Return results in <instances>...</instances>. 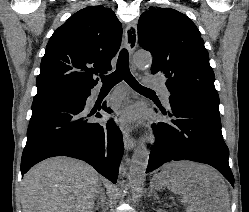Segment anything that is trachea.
I'll return each mask as SVG.
<instances>
[{
	"mask_svg": "<svg viewBox=\"0 0 249 212\" xmlns=\"http://www.w3.org/2000/svg\"><path fill=\"white\" fill-rule=\"evenodd\" d=\"M102 88H112L121 80H125L134 90H150V88L143 87L137 80L133 77L129 69V55L126 49H122L119 54L117 67L115 72L110 73V75L101 76Z\"/></svg>",
	"mask_w": 249,
	"mask_h": 212,
	"instance_id": "1",
	"label": "trachea"
}]
</instances>
